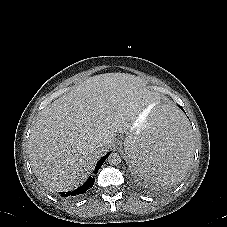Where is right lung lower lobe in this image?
I'll return each mask as SVG.
<instances>
[{"label":"right lung lower lobe","instance_id":"right-lung-lower-lobe-1","mask_svg":"<svg viewBox=\"0 0 227 227\" xmlns=\"http://www.w3.org/2000/svg\"><path fill=\"white\" fill-rule=\"evenodd\" d=\"M109 156V154L105 155L102 159L99 160L97 167L95 168L94 173L96 174L97 171L100 169V167L103 165L104 161L106 160V158ZM95 182V178L94 176H90L87 181L80 186L79 188H77L74 191H69L67 193H61V196L66 198V199H76L78 197H81L84 193L87 192V190L89 188H92Z\"/></svg>","mask_w":227,"mask_h":227}]
</instances>
